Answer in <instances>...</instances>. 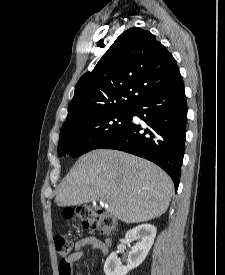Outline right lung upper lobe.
<instances>
[{
  "label": "right lung upper lobe",
  "instance_id": "cb5924a9",
  "mask_svg": "<svg viewBox=\"0 0 225 275\" xmlns=\"http://www.w3.org/2000/svg\"><path fill=\"white\" fill-rule=\"evenodd\" d=\"M181 81L175 59L155 36L130 28L116 39L94 70L79 79L63 127L98 113L131 110L144 98Z\"/></svg>",
  "mask_w": 225,
  "mask_h": 275
}]
</instances>
